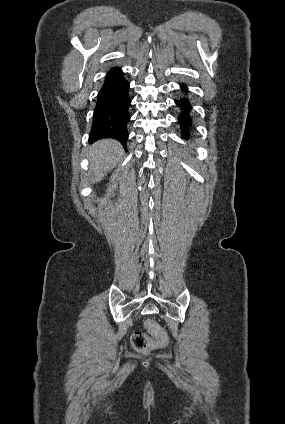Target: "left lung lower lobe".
<instances>
[{"instance_id": "obj_1", "label": "left lung lower lobe", "mask_w": 285, "mask_h": 424, "mask_svg": "<svg viewBox=\"0 0 285 424\" xmlns=\"http://www.w3.org/2000/svg\"><path fill=\"white\" fill-rule=\"evenodd\" d=\"M181 89L185 93L188 92L186 84H181ZM175 103L181 108V115L178 117V121L181 125L182 135L184 138H189L188 130L189 126L191 125V117L189 115V110L191 109V105L187 98L176 100Z\"/></svg>"}]
</instances>
